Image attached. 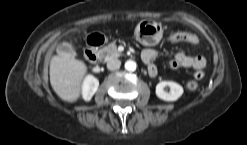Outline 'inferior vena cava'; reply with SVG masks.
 Listing matches in <instances>:
<instances>
[{
	"label": "inferior vena cava",
	"instance_id": "602c4592",
	"mask_svg": "<svg viewBox=\"0 0 247 145\" xmlns=\"http://www.w3.org/2000/svg\"><path fill=\"white\" fill-rule=\"evenodd\" d=\"M121 61L118 59L111 58L107 61V68L109 70H117L120 68Z\"/></svg>",
	"mask_w": 247,
	"mask_h": 145
}]
</instances>
